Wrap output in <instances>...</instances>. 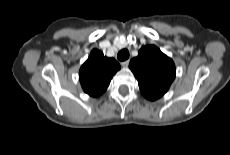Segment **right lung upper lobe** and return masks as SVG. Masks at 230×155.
Here are the masks:
<instances>
[{
  "label": "right lung upper lobe",
  "mask_w": 230,
  "mask_h": 155,
  "mask_svg": "<svg viewBox=\"0 0 230 155\" xmlns=\"http://www.w3.org/2000/svg\"><path fill=\"white\" fill-rule=\"evenodd\" d=\"M119 69L120 65L114 58H107L97 49L92 50L90 57L79 71V79L84 92L92 97L100 96Z\"/></svg>",
  "instance_id": "1"
}]
</instances>
